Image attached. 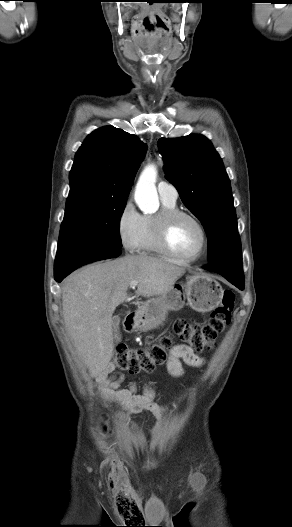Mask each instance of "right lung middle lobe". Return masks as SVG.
I'll use <instances>...</instances> for the list:
<instances>
[{
  "label": "right lung middle lobe",
  "mask_w": 292,
  "mask_h": 527,
  "mask_svg": "<svg viewBox=\"0 0 292 527\" xmlns=\"http://www.w3.org/2000/svg\"><path fill=\"white\" fill-rule=\"evenodd\" d=\"M127 196L71 187L61 225L59 243L102 242L121 248L119 223Z\"/></svg>",
  "instance_id": "obj_1"
}]
</instances>
